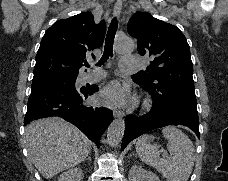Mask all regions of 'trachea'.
I'll return each mask as SVG.
<instances>
[{"mask_svg":"<svg viewBox=\"0 0 228 181\" xmlns=\"http://www.w3.org/2000/svg\"><path fill=\"white\" fill-rule=\"evenodd\" d=\"M117 28H118V21L116 18H114L110 23V26L106 35L104 53L96 66L104 65V63L108 60V58L113 56V43H114V38H115ZM85 66L89 67L90 65L86 63Z\"/></svg>","mask_w":228,"mask_h":181,"instance_id":"1","label":"trachea"}]
</instances>
